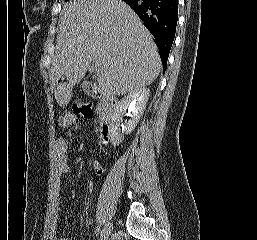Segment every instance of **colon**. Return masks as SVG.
I'll return each instance as SVG.
<instances>
[{"label":"colon","instance_id":"5ec220e1","mask_svg":"<svg viewBox=\"0 0 257 240\" xmlns=\"http://www.w3.org/2000/svg\"><path fill=\"white\" fill-rule=\"evenodd\" d=\"M94 109L90 103L76 102L73 105L72 111L67 113L66 122L74 121L77 117L90 119L93 117Z\"/></svg>","mask_w":257,"mask_h":240}]
</instances>
